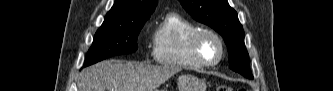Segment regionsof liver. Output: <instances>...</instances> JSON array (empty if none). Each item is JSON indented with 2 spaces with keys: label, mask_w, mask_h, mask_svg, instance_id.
<instances>
[{
  "label": "liver",
  "mask_w": 333,
  "mask_h": 91,
  "mask_svg": "<svg viewBox=\"0 0 333 91\" xmlns=\"http://www.w3.org/2000/svg\"><path fill=\"white\" fill-rule=\"evenodd\" d=\"M178 71L174 66L105 60L82 72L80 91H155Z\"/></svg>",
  "instance_id": "6515ba94"
}]
</instances>
